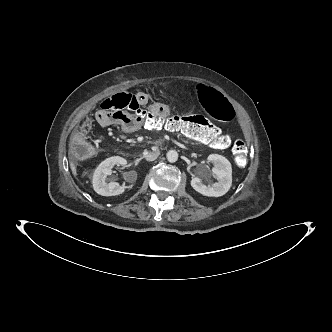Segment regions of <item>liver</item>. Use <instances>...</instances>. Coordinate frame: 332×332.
Here are the masks:
<instances>
[{
  "label": "liver",
  "mask_w": 332,
  "mask_h": 332,
  "mask_svg": "<svg viewBox=\"0 0 332 332\" xmlns=\"http://www.w3.org/2000/svg\"><path fill=\"white\" fill-rule=\"evenodd\" d=\"M70 167H71L72 173L74 174V176H76L77 175V167L72 161L70 162Z\"/></svg>",
  "instance_id": "liver-1"
}]
</instances>
